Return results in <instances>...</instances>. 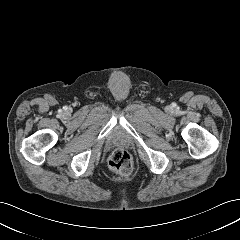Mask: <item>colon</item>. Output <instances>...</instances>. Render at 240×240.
Masks as SVG:
<instances>
[{
    "instance_id": "colon-1",
    "label": "colon",
    "mask_w": 240,
    "mask_h": 240,
    "mask_svg": "<svg viewBox=\"0 0 240 240\" xmlns=\"http://www.w3.org/2000/svg\"><path fill=\"white\" fill-rule=\"evenodd\" d=\"M110 169L120 175H129L133 170V159L125 149H116L109 156Z\"/></svg>"
}]
</instances>
